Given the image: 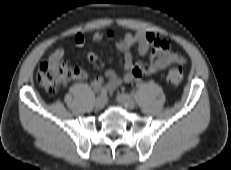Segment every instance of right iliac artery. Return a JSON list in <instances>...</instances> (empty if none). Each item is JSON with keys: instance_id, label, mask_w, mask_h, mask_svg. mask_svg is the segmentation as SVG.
<instances>
[{"instance_id": "82829eb1", "label": "right iliac artery", "mask_w": 231, "mask_h": 170, "mask_svg": "<svg viewBox=\"0 0 231 170\" xmlns=\"http://www.w3.org/2000/svg\"><path fill=\"white\" fill-rule=\"evenodd\" d=\"M106 96H107V91L104 90V89H101V90L99 91V97L105 98Z\"/></svg>"}]
</instances>
